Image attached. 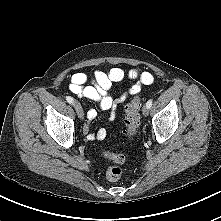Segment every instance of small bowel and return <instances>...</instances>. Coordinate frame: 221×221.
I'll return each instance as SVG.
<instances>
[{"label":"small bowel","instance_id":"obj_1","mask_svg":"<svg viewBox=\"0 0 221 221\" xmlns=\"http://www.w3.org/2000/svg\"><path fill=\"white\" fill-rule=\"evenodd\" d=\"M125 78L133 80L135 83L125 89L117 99H114L109 93L112 85ZM153 82L154 75L139 67L134 66L128 70L114 67L108 72L96 71L91 78L81 72L73 74L70 79L69 90L79 98L96 101L99 107L107 113V119L114 121L117 116V104L139 93L142 85H150ZM96 115L97 112L94 109L89 110L87 112L88 121L93 120ZM83 132L91 141H101L107 136V131L103 128L95 133H90L89 124L84 125Z\"/></svg>","mask_w":221,"mask_h":221}]
</instances>
